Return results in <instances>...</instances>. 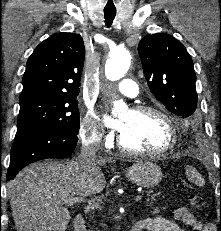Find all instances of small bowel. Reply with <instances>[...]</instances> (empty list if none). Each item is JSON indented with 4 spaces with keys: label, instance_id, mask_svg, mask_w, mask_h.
Segmentation results:
<instances>
[{
    "label": "small bowel",
    "instance_id": "obj_1",
    "mask_svg": "<svg viewBox=\"0 0 221 231\" xmlns=\"http://www.w3.org/2000/svg\"><path fill=\"white\" fill-rule=\"evenodd\" d=\"M159 210L155 209L151 217L142 219L135 225L141 231H185L178 223L192 231H216L214 224L198 220L186 207H180L175 211L176 222L157 216Z\"/></svg>",
    "mask_w": 221,
    "mask_h": 231
}]
</instances>
